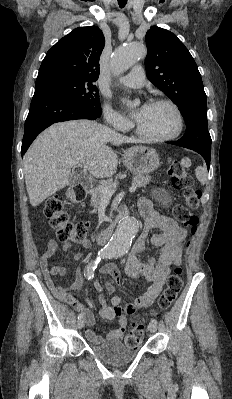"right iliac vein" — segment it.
Masks as SVG:
<instances>
[{"label":"right iliac vein","instance_id":"1","mask_svg":"<svg viewBox=\"0 0 232 399\" xmlns=\"http://www.w3.org/2000/svg\"><path fill=\"white\" fill-rule=\"evenodd\" d=\"M84 325H85V322H84V321H79L78 324H77V329H78V330H81V329H82V326H84Z\"/></svg>","mask_w":232,"mask_h":399}]
</instances>
